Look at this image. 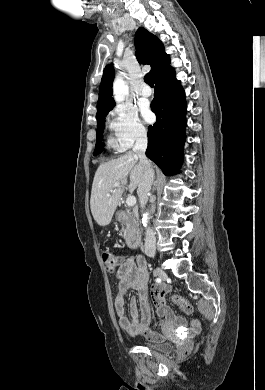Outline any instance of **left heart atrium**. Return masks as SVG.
<instances>
[{
  "label": "left heart atrium",
  "instance_id": "obj_1",
  "mask_svg": "<svg viewBox=\"0 0 265 390\" xmlns=\"http://www.w3.org/2000/svg\"><path fill=\"white\" fill-rule=\"evenodd\" d=\"M142 113H143L144 118H145L148 122L152 121V119H153V114H152V112H151L150 110H148V109L145 108V109L142 110Z\"/></svg>",
  "mask_w": 265,
  "mask_h": 390
}]
</instances>
